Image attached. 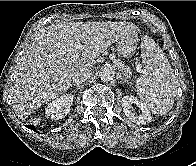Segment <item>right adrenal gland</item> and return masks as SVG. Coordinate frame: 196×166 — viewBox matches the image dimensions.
<instances>
[{
  "mask_svg": "<svg viewBox=\"0 0 196 166\" xmlns=\"http://www.w3.org/2000/svg\"><path fill=\"white\" fill-rule=\"evenodd\" d=\"M75 86L76 88L80 89L82 86L80 84H71V87Z\"/></svg>",
  "mask_w": 196,
  "mask_h": 166,
  "instance_id": "right-adrenal-gland-1",
  "label": "right adrenal gland"
}]
</instances>
